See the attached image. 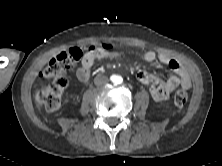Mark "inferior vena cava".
<instances>
[{
  "instance_id": "1",
  "label": "inferior vena cava",
  "mask_w": 222,
  "mask_h": 166,
  "mask_svg": "<svg viewBox=\"0 0 222 166\" xmlns=\"http://www.w3.org/2000/svg\"><path fill=\"white\" fill-rule=\"evenodd\" d=\"M109 82V79L107 76L104 75H98L96 76V78L94 79V83L97 86H102V85H106Z\"/></svg>"
}]
</instances>
